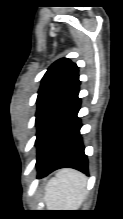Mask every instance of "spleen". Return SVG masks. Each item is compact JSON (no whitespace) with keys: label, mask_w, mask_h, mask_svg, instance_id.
<instances>
[{"label":"spleen","mask_w":123,"mask_h":219,"mask_svg":"<svg viewBox=\"0 0 123 219\" xmlns=\"http://www.w3.org/2000/svg\"><path fill=\"white\" fill-rule=\"evenodd\" d=\"M86 177L72 169L56 173L45 188L48 210H78L85 198Z\"/></svg>","instance_id":"1"}]
</instances>
